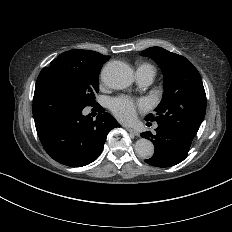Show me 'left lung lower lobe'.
<instances>
[{
	"label": "left lung lower lobe",
	"mask_w": 232,
	"mask_h": 232,
	"mask_svg": "<svg viewBox=\"0 0 232 232\" xmlns=\"http://www.w3.org/2000/svg\"><path fill=\"white\" fill-rule=\"evenodd\" d=\"M141 136L154 144V155L145 162L156 167H171L182 162L193 140L175 128L160 124L155 134L146 131Z\"/></svg>",
	"instance_id": "1"
}]
</instances>
